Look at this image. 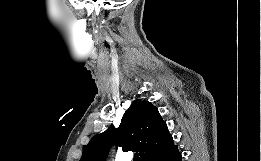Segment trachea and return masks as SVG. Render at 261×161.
Listing matches in <instances>:
<instances>
[{
    "instance_id": "obj_1",
    "label": "trachea",
    "mask_w": 261,
    "mask_h": 161,
    "mask_svg": "<svg viewBox=\"0 0 261 161\" xmlns=\"http://www.w3.org/2000/svg\"><path fill=\"white\" fill-rule=\"evenodd\" d=\"M133 161H138V153L134 154V160Z\"/></svg>"
}]
</instances>
